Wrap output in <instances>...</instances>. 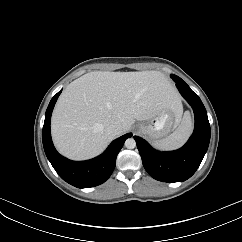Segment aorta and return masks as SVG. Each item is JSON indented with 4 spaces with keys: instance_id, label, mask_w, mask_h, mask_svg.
<instances>
[{
    "instance_id": "1",
    "label": "aorta",
    "mask_w": 242,
    "mask_h": 242,
    "mask_svg": "<svg viewBox=\"0 0 242 242\" xmlns=\"http://www.w3.org/2000/svg\"><path fill=\"white\" fill-rule=\"evenodd\" d=\"M125 147L127 149H134L136 147V141L134 140V138H128L125 141Z\"/></svg>"
}]
</instances>
